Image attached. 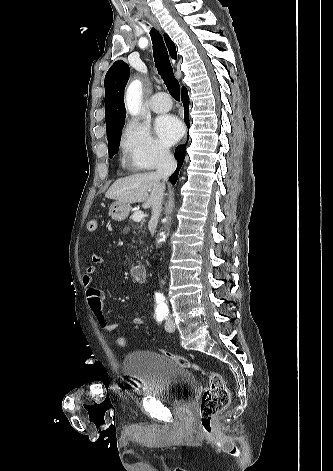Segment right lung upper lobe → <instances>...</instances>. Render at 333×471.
Listing matches in <instances>:
<instances>
[{
  "label": "right lung upper lobe",
  "instance_id": "obj_1",
  "mask_svg": "<svg viewBox=\"0 0 333 471\" xmlns=\"http://www.w3.org/2000/svg\"><path fill=\"white\" fill-rule=\"evenodd\" d=\"M164 38L171 57L176 59L177 52L173 41L167 34H164ZM129 75V66L123 60L116 61L106 73L104 86L107 131L116 125L125 122L126 110L123 96Z\"/></svg>",
  "mask_w": 333,
  "mask_h": 471
}]
</instances>
